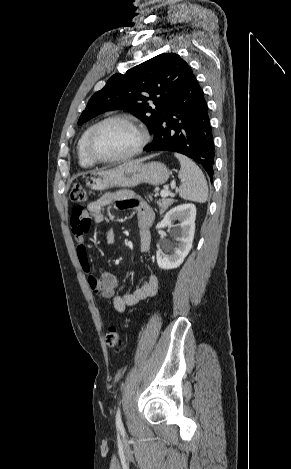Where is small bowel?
Returning a JSON list of instances; mask_svg holds the SVG:
<instances>
[{"label": "small bowel", "mask_w": 291, "mask_h": 469, "mask_svg": "<svg viewBox=\"0 0 291 469\" xmlns=\"http://www.w3.org/2000/svg\"><path fill=\"white\" fill-rule=\"evenodd\" d=\"M113 202L119 208L133 209L136 212L137 224L140 230V249L142 253H147L151 245L150 230L154 222V212L145 201L130 191L121 190L106 193L96 201L91 202L86 209H75L70 218V223L72 233L78 243V260L83 271L87 274V281L91 291L102 298L111 299L114 310L123 313L128 307L154 296L158 291L159 282L155 275H150L133 292L116 295L119 280L115 274L110 271H103L99 277L91 274L84 236L90 231L93 223L100 224L104 222V209ZM115 239V231L112 228L108 229L105 238L106 243L111 245L115 242Z\"/></svg>", "instance_id": "small-bowel-1"}]
</instances>
